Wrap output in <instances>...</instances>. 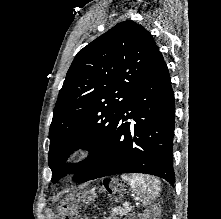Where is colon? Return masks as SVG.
Listing matches in <instances>:
<instances>
[{
	"label": "colon",
	"mask_w": 221,
	"mask_h": 219,
	"mask_svg": "<svg viewBox=\"0 0 221 219\" xmlns=\"http://www.w3.org/2000/svg\"><path fill=\"white\" fill-rule=\"evenodd\" d=\"M64 219H83L73 210L64 211Z\"/></svg>",
	"instance_id": "colon-1"
}]
</instances>
